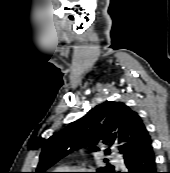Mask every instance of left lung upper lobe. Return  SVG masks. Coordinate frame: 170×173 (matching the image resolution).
<instances>
[{
  "instance_id": "obj_1",
  "label": "left lung upper lobe",
  "mask_w": 170,
  "mask_h": 173,
  "mask_svg": "<svg viewBox=\"0 0 170 173\" xmlns=\"http://www.w3.org/2000/svg\"><path fill=\"white\" fill-rule=\"evenodd\" d=\"M150 142L151 137L135 111L122 102L106 101L47 140L35 173H47L58 160L85 146L99 151L96 144H104L109 147L105 150L107 156L111 153L110 147L116 146L126 155ZM114 170L113 165L107 164L96 173H113Z\"/></svg>"
}]
</instances>
